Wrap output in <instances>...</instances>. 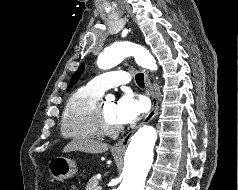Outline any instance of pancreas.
Here are the masks:
<instances>
[{
    "instance_id": "cf45deb5",
    "label": "pancreas",
    "mask_w": 238,
    "mask_h": 190,
    "mask_svg": "<svg viewBox=\"0 0 238 190\" xmlns=\"http://www.w3.org/2000/svg\"><path fill=\"white\" fill-rule=\"evenodd\" d=\"M99 181L97 177H92L86 185V190H98Z\"/></svg>"
}]
</instances>
